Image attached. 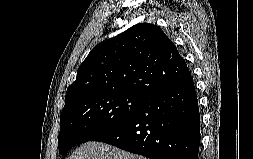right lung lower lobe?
<instances>
[{
  "mask_svg": "<svg viewBox=\"0 0 253 159\" xmlns=\"http://www.w3.org/2000/svg\"><path fill=\"white\" fill-rule=\"evenodd\" d=\"M92 141L151 159H198L200 113L192 76L148 96L126 120Z\"/></svg>",
  "mask_w": 253,
  "mask_h": 159,
  "instance_id": "98d812e1",
  "label": "right lung lower lobe"
}]
</instances>
